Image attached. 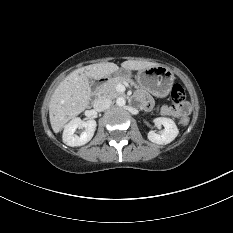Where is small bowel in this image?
Segmentation results:
<instances>
[{
    "instance_id": "1",
    "label": "small bowel",
    "mask_w": 233,
    "mask_h": 233,
    "mask_svg": "<svg viewBox=\"0 0 233 233\" xmlns=\"http://www.w3.org/2000/svg\"><path fill=\"white\" fill-rule=\"evenodd\" d=\"M137 98L145 108H149L151 106V100L145 93L143 92L138 93ZM160 112L163 115L181 117L188 114L189 106L187 104L183 106H162L160 108Z\"/></svg>"
}]
</instances>
